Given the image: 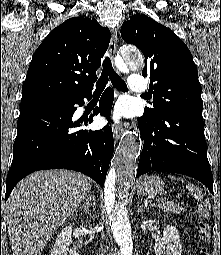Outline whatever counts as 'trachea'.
<instances>
[{
	"label": "trachea",
	"mask_w": 221,
	"mask_h": 255,
	"mask_svg": "<svg viewBox=\"0 0 221 255\" xmlns=\"http://www.w3.org/2000/svg\"><path fill=\"white\" fill-rule=\"evenodd\" d=\"M109 79L113 87L117 88L118 90L124 91V92L128 90L124 80H122L121 77L114 71L109 57H106L103 61V70H102L100 79L98 80L96 84V89L94 93L95 94L101 93L104 90Z\"/></svg>",
	"instance_id": "3493384b"
}]
</instances>
